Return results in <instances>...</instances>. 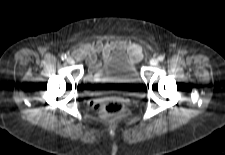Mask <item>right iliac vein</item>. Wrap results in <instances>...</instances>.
<instances>
[{"label":"right iliac vein","mask_w":225,"mask_h":155,"mask_svg":"<svg viewBox=\"0 0 225 155\" xmlns=\"http://www.w3.org/2000/svg\"><path fill=\"white\" fill-rule=\"evenodd\" d=\"M66 61H67L68 64H74L75 63L74 59L70 56L66 59Z\"/></svg>","instance_id":"obj_1"}]
</instances>
